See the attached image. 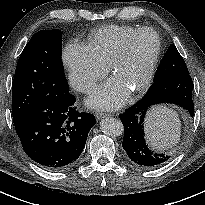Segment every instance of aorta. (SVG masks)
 <instances>
[{"label":"aorta","instance_id":"aorta-1","mask_svg":"<svg viewBox=\"0 0 205 205\" xmlns=\"http://www.w3.org/2000/svg\"><path fill=\"white\" fill-rule=\"evenodd\" d=\"M100 129L105 135L116 137L122 135L124 127L116 118H105L100 123Z\"/></svg>","mask_w":205,"mask_h":205}]
</instances>
